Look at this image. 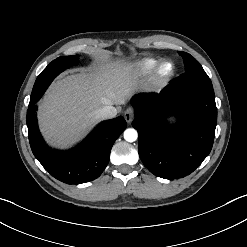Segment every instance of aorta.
Segmentation results:
<instances>
[{
	"label": "aorta",
	"instance_id": "1",
	"mask_svg": "<svg viewBox=\"0 0 247 247\" xmlns=\"http://www.w3.org/2000/svg\"><path fill=\"white\" fill-rule=\"evenodd\" d=\"M137 137V131L133 128H128L124 131V139L128 142L136 141Z\"/></svg>",
	"mask_w": 247,
	"mask_h": 247
}]
</instances>
